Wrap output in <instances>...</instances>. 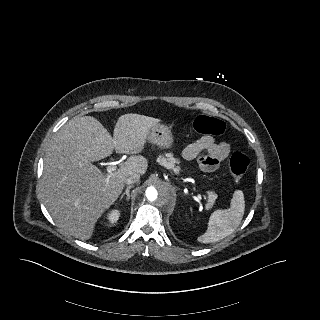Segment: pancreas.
Here are the masks:
<instances>
[{"mask_svg":"<svg viewBox=\"0 0 320 320\" xmlns=\"http://www.w3.org/2000/svg\"><path fill=\"white\" fill-rule=\"evenodd\" d=\"M165 156L166 157L159 156V158L157 159V162L160 163L162 166L166 167L167 169L173 170L174 173L178 174L181 169L179 166H175V164L179 163L180 161L174 158L172 153H166ZM207 194H208V203L206 207L211 208L217 198V195L212 191H208Z\"/></svg>","mask_w":320,"mask_h":320,"instance_id":"cf45deb5","label":"pancreas"}]
</instances>
